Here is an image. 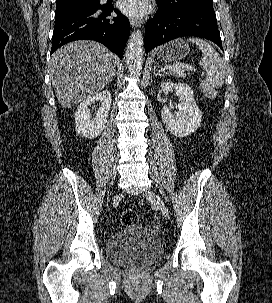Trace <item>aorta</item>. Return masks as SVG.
Masks as SVG:
<instances>
[{
  "mask_svg": "<svg viewBox=\"0 0 272 303\" xmlns=\"http://www.w3.org/2000/svg\"><path fill=\"white\" fill-rule=\"evenodd\" d=\"M144 39L140 30H136L130 36L126 50V64L128 71L133 76H139L143 65Z\"/></svg>",
  "mask_w": 272,
  "mask_h": 303,
  "instance_id": "1",
  "label": "aorta"
}]
</instances>
